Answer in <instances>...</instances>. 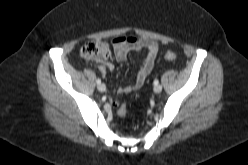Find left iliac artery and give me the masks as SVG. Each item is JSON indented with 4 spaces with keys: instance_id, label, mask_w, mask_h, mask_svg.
<instances>
[{
    "instance_id": "left-iliac-artery-1",
    "label": "left iliac artery",
    "mask_w": 248,
    "mask_h": 165,
    "mask_svg": "<svg viewBox=\"0 0 248 165\" xmlns=\"http://www.w3.org/2000/svg\"><path fill=\"white\" fill-rule=\"evenodd\" d=\"M159 81L158 80H154V85H158Z\"/></svg>"
}]
</instances>
